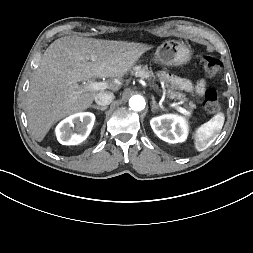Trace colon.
Segmentation results:
<instances>
[{
	"instance_id": "colon-1",
	"label": "colon",
	"mask_w": 253,
	"mask_h": 253,
	"mask_svg": "<svg viewBox=\"0 0 253 253\" xmlns=\"http://www.w3.org/2000/svg\"><path fill=\"white\" fill-rule=\"evenodd\" d=\"M201 65L204 72L208 76H215L221 70V62L213 56H203L201 58ZM203 105L206 111L209 113H215L219 111L220 105L218 102V95L215 90L207 89L204 92Z\"/></svg>"
}]
</instances>
